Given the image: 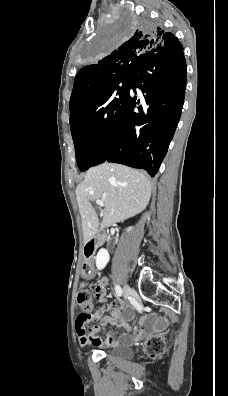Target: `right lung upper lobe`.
Instances as JSON below:
<instances>
[{"label": "right lung upper lobe", "instance_id": "right-lung-upper-lobe-1", "mask_svg": "<svg viewBox=\"0 0 228 396\" xmlns=\"http://www.w3.org/2000/svg\"><path fill=\"white\" fill-rule=\"evenodd\" d=\"M181 45L160 27L142 26L134 36L104 58L77 73L70 98V120L83 112L103 91L119 80L131 79L141 60L156 49Z\"/></svg>", "mask_w": 228, "mask_h": 396}]
</instances>
